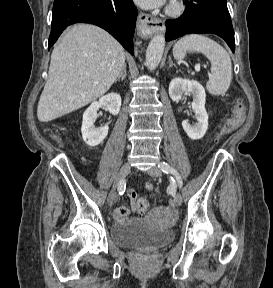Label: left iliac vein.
<instances>
[{"mask_svg":"<svg viewBox=\"0 0 273 288\" xmlns=\"http://www.w3.org/2000/svg\"><path fill=\"white\" fill-rule=\"evenodd\" d=\"M147 174L152 176V177H156V178H160L162 176V172L160 170V168L158 167H152L149 170H147ZM174 201L177 205H181L182 203V196L179 192H175L174 195Z\"/></svg>","mask_w":273,"mask_h":288,"instance_id":"left-iliac-vein-1","label":"left iliac vein"}]
</instances>
